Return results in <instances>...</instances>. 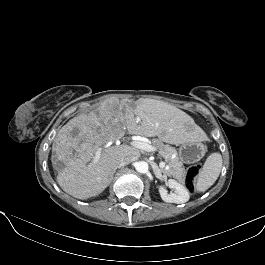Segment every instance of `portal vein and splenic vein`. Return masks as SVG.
<instances>
[{
    "mask_svg": "<svg viewBox=\"0 0 265 265\" xmlns=\"http://www.w3.org/2000/svg\"><path fill=\"white\" fill-rule=\"evenodd\" d=\"M130 144L140 150L146 151V152H155L157 151V148L149 143L143 142V141H139L134 139L133 141L130 142ZM101 152H102V148H99L96 150L95 152V156L93 158V164H96L99 161V158L101 156ZM159 167L160 168H168V166H166V163L164 161H161L159 163Z\"/></svg>",
    "mask_w": 265,
    "mask_h": 265,
    "instance_id": "1",
    "label": "portal vein and splenic vein"
}]
</instances>
